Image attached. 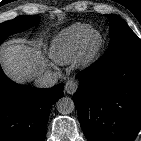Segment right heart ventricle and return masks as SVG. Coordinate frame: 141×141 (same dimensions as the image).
Here are the masks:
<instances>
[{
	"label": "right heart ventricle",
	"instance_id": "1",
	"mask_svg": "<svg viewBox=\"0 0 141 141\" xmlns=\"http://www.w3.org/2000/svg\"><path fill=\"white\" fill-rule=\"evenodd\" d=\"M91 26L85 23H74L51 41L49 47L50 57L58 64H66L77 58L86 34Z\"/></svg>",
	"mask_w": 141,
	"mask_h": 141
}]
</instances>
